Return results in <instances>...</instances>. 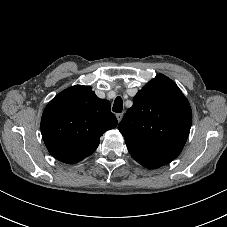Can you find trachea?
Wrapping results in <instances>:
<instances>
[{
    "instance_id": "1",
    "label": "trachea",
    "mask_w": 227,
    "mask_h": 227,
    "mask_svg": "<svg viewBox=\"0 0 227 227\" xmlns=\"http://www.w3.org/2000/svg\"><path fill=\"white\" fill-rule=\"evenodd\" d=\"M122 108H123V101H122V98L118 96L114 101L112 111L116 113H121Z\"/></svg>"
}]
</instances>
